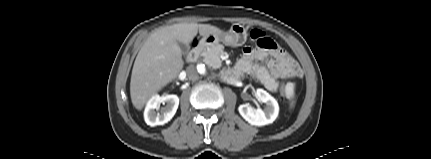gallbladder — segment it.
I'll return each instance as SVG.
<instances>
[{
    "label": "gallbladder",
    "mask_w": 431,
    "mask_h": 159,
    "mask_svg": "<svg viewBox=\"0 0 431 159\" xmlns=\"http://www.w3.org/2000/svg\"><path fill=\"white\" fill-rule=\"evenodd\" d=\"M178 45H179V47H180V49H181V51H182V53L184 54V55H187L188 54V52H189V46L187 45V44H185V43H182V42H178Z\"/></svg>",
    "instance_id": "gallbladder-1"
}]
</instances>
